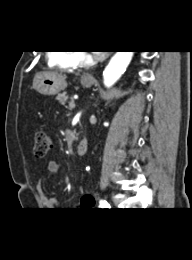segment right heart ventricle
<instances>
[{
    "label": "right heart ventricle",
    "mask_w": 192,
    "mask_h": 260,
    "mask_svg": "<svg viewBox=\"0 0 192 260\" xmlns=\"http://www.w3.org/2000/svg\"><path fill=\"white\" fill-rule=\"evenodd\" d=\"M51 65L64 69H73L79 65L78 54L74 51H54L48 55Z\"/></svg>",
    "instance_id": "1"
}]
</instances>
